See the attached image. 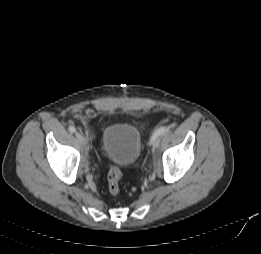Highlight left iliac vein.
<instances>
[{
  "instance_id": "1",
  "label": "left iliac vein",
  "mask_w": 261,
  "mask_h": 254,
  "mask_svg": "<svg viewBox=\"0 0 261 254\" xmlns=\"http://www.w3.org/2000/svg\"><path fill=\"white\" fill-rule=\"evenodd\" d=\"M160 139L159 137H156L154 141L152 142L153 151L156 150L159 147Z\"/></svg>"
}]
</instances>
